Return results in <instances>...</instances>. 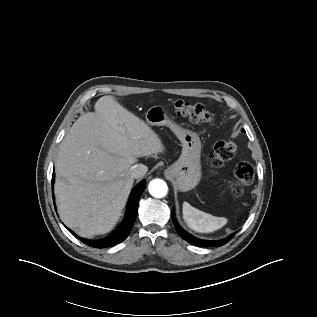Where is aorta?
I'll return each mask as SVG.
<instances>
[{"label": "aorta", "instance_id": "1", "mask_svg": "<svg viewBox=\"0 0 317 317\" xmlns=\"http://www.w3.org/2000/svg\"><path fill=\"white\" fill-rule=\"evenodd\" d=\"M148 190L154 198H163L168 193V186L162 179H153L149 183Z\"/></svg>", "mask_w": 317, "mask_h": 317}]
</instances>
